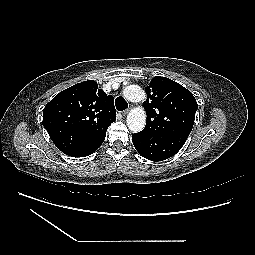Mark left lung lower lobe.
<instances>
[{
	"mask_svg": "<svg viewBox=\"0 0 255 255\" xmlns=\"http://www.w3.org/2000/svg\"><path fill=\"white\" fill-rule=\"evenodd\" d=\"M188 137L168 133H135L133 144L139 154L151 161H163L175 155Z\"/></svg>",
	"mask_w": 255,
	"mask_h": 255,
	"instance_id": "1",
	"label": "left lung lower lobe"
}]
</instances>
